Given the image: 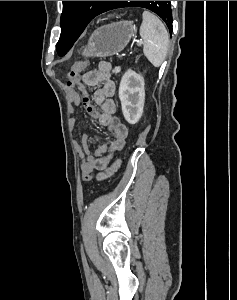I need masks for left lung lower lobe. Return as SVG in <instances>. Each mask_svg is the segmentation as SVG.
I'll return each mask as SVG.
<instances>
[{
	"mask_svg": "<svg viewBox=\"0 0 237 300\" xmlns=\"http://www.w3.org/2000/svg\"><path fill=\"white\" fill-rule=\"evenodd\" d=\"M169 1H160V8L165 7L168 4ZM121 1H111L108 6L105 8V12L120 8ZM170 33H172V29L170 30Z\"/></svg>",
	"mask_w": 237,
	"mask_h": 300,
	"instance_id": "0a47b994",
	"label": "left lung lower lobe"
}]
</instances>
